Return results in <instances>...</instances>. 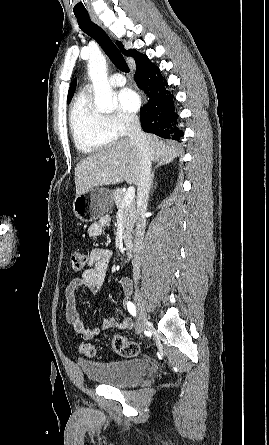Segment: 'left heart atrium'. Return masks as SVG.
I'll return each instance as SVG.
<instances>
[{
	"instance_id": "left-heart-atrium-1",
	"label": "left heart atrium",
	"mask_w": 269,
	"mask_h": 445,
	"mask_svg": "<svg viewBox=\"0 0 269 445\" xmlns=\"http://www.w3.org/2000/svg\"><path fill=\"white\" fill-rule=\"evenodd\" d=\"M121 108L128 113H135L140 106V97L132 89L125 88L118 94Z\"/></svg>"
}]
</instances>
